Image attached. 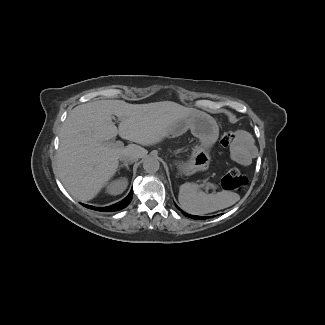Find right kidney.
<instances>
[{
    "instance_id": "1",
    "label": "right kidney",
    "mask_w": 325,
    "mask_h": 325,
    "mask_svg": "<svg viewBox=\"0 0 325 325\" xmlns=\"http://www.w3.org/2000/svg\"><path fill=\"white\" fill-rule=\"evenodd\" d=\"M127 179L120 178L106 184V192L110 195L121 194L127 187Z\"/></svg>"
}]
</instances>
